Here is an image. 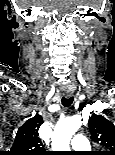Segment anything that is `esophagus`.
<instances>
[{"label": "esophagus", "instance_id": "obj_1", "mask_svg": "<svg viewBox=\"0 0 115 155\" xmlns=\"http://www.w3.org/2000/svg\"><path fill=\"white\" fill-rule=\"evenodd\" d=\"M65 96L66 97H71V94L70 93H66Z\"/></svg>", "mask_w": 115, "mask_h": 155}]
</instances>
